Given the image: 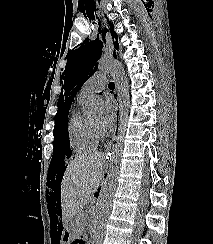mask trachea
Here are the masks:
<instances>
[{
    "label": "trachea",
    "instance_id": "3493384b",
    "mask_svg": "<svg viewBox=\"0 0 213 244\" xmlns=\"http://www.w3.org/2000/svg\"><path fill=\"white\" fill-rule=\"evenodd\" d=\"M109 88H115V84L113 82L109 83Z\"/></svg>",
    "mask_w": 213,
    "mask_h": 244
}]
</instances>
